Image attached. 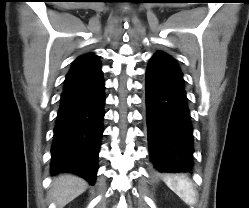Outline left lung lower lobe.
Instances as JSON below:
<instances>
[{
	"label": "left lung lower lobe",
	"mask_w": 249,
	"mask_h": 208,
	"mask_svg": "<svg viewBox=\"0 0 249 208\" xmlns=\"http://www.w3.org/2000/svg\"><path fill=\"white\" fill-rule=\"evenodd\" d=\"M146 123L155 171L191 172L193 129L183 74L174 59L154 55L146 71Z\"/></svg>",
	"instance_id": "left-lung-lower-lobe-1"
}]
</instances>
